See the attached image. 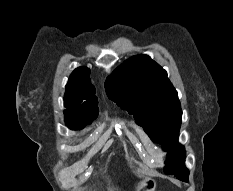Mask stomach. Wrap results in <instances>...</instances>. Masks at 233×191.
Masks as SVG:
<instances>
[{"instance_id": "obj_1", "label": "stomach", "mask_w": 233, "mask_h": 191, "mask_svg": "<svg viewBox=\"0 0 233 191\" xmlns=\"http://www.w3.org/2000/svg\"><path fill=\"white\" fill-rule=\"evenodd\" d=\"M157 183L151 177H145L136 186V191H156Z\"/></svg>"}]
</instances>
